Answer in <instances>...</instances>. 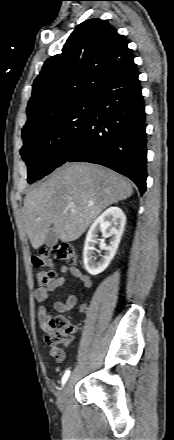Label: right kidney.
<instances>
[{
	"instance_id": "1",
	"label": "right kidney",
	"mask_w": 174,
	"mask_h": 440,
	"mask_svg": "<svg viewBox=\"0 0 174 440\" xmlns=\"http://www.w3.org/2000/svg\"><path fill=\"white\" fill-rule=\"evenodd\" d=\"M125 223L126 216L119 207L108 208L92 223L83 250L84 266L89 274L97 275L109 266L118 249ZM99 231L104 238H110L109 245L105 244L104 239H98ZM98 241H100V249L105 253L99 261H96L94 251Z\"/></svg>"
}]
</instances>
